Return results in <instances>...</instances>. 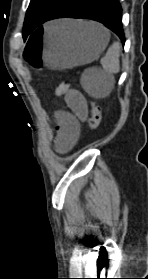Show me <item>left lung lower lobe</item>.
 Wrapping results in <instances>:
<instances>
[{"label": "left lung lower lobe", "mask_w": 148, "mask_h": 279, "mask_svg": "<svg viewBox=\"0 0 148 279\" xmlns=\"http://www.w3.org/2000/svg\"><path fill=\"white\" fill-rule=\"evenodd\" d=\"M64 17L99 21L115 32L124 44L122 9L118 0H66L44 22Z\"/></svg>", "instance_id": "left-lung-lower-lobe-1"}]
</instances>
